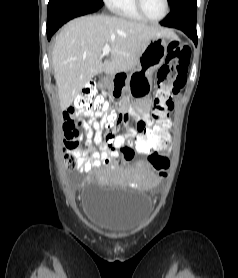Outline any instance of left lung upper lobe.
I'll return each instance as SVG.
<instances>
[{
  "mask_svg": "<svg viewBox=\"0 0 238 278\" xmlns=\"http://www.w3.org/2000/svg\"><path fill=\"white\" fill-rule=\"evenodd\" d=\"M179 0H170V4H171V7L176 3L178 2Z\"/></svg>",
  "mask_w": 238,
  "mask_h": 278,
  "instance_id": "5c2ea615",
  "label": "left lung upper lobe"
}]
</instances>
